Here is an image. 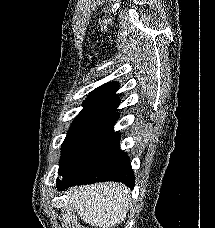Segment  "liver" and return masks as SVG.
<instances>
[{"instance_id":"6515ba94","label":"liver","mask_w":215,"mask_h":228,"mask_svg":"<svg viewBox=\"0 0 215 228\" xmlns=\"http://www.w3.org/2000/svg\"><path fill=\"white\" fill-rule=\"evenodd\" d=\"M65 194L80 220L92 228H115L122 224L131 202L129 188L117 182L73 186Z\"/></svg>"}]
</instances>
